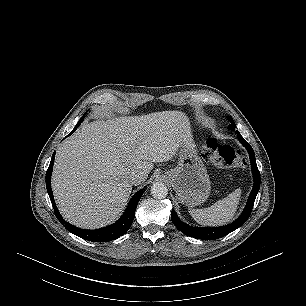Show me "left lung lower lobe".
<instances>
[{"mask_svg":"<svg viewBox=\"0 0 306 306\" xmlns=\"http://www.w3.org/2000/svg\"><path fill=\"white\" fill-rule=\"evenodd\" d=\"M238 138L239 141L242 143V145L245 146L246 149L248 150V153L250 155L253 178H254V185L250 193V196L248 198L245 209L243 210L242 214L233 223L216 228L193 227L186 225L179 219L175 211L172 210L171 212L172 222L184 234L197 239L214 240L224 237L227 234L231 233L232 231L236 230L237 228L242 226L249 218L254 205V201L256 199L257 193L260 188V172L256 164L255 154L252 147L244 140V138L241 135H238Z\"/></svg>","mask_w":306,"mask_h":306,"instance_id":"0a47b994","label":"left lung lower lobe"}]
</instances>
